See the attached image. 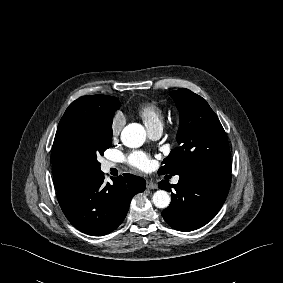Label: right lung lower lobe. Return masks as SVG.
Here are the masks:
<instances>
[{"label": "right lung lower lobe", "instance_id": "1", "mask_svg": "<svg viewBox=\"0 0 283 283\" xmlns=\"http://www.w3.org/2000/svg\"><path fill=\"white\" fill-rule=\"evenodd\" d=\"M105 183L100 170L57 192L61 209L78 230L93 236L112 232L124 220L133 196L145 190V180L123 174Z\"/></svg>", "mask_w": 283, "mask_h": 283}]
</instances>
